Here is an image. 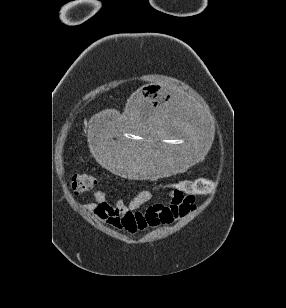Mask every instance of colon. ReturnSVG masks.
I'll return each mask as SVG.
<instances>
[{"mask_svg": "<svg viewBox=\"0 0 286 308\" xmlns=\"http://www.w3.org/2000/svg\"><path fill=\"white\" fill-rule=\"evenodd\" d=\"M96 183V177L89 173L73 174L69 178V187L77 193L91 190ZM177 185L184 191L197 194L209 193L215 187L212 180L204 178L182 180Z\"/></svg>", "mask_w": 286, "mask_h": 308, "instance_id": "5ec220e1", "label": "colon"}]
</instances>
